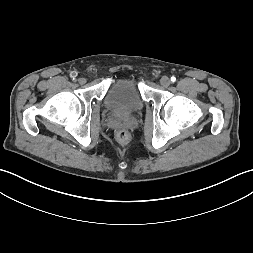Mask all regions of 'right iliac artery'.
Instances as JSON below:
<instances>
[{
    "label": "right iliac artery",
    "instance_id": "1",
    "mask_svg": "<svg viewBox=\"0 0 253 253\" xmlns=\"http://www.w3.org/2000/svg\"><path fill=\"white\" fill-rule=\"evenodd\" d=\"M76 77H77V73H72V74H71V78H72L73 80H76Z\"/></svg>",
    "mask_w": 253,
    "mask_h": 253
}]
</instances>
